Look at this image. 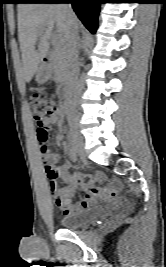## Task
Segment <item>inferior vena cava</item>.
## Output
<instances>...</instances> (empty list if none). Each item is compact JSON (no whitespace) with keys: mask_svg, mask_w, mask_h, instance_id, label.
Here are the masks:
<instances>
[{"mask_svg":"<svg viewBox=\"0 0 166 267\" xmlns=\"http://www.w3.org/2000/svg\"><path fill=\"white\" fill-rule=\"evenodd\" d=\"M62 8L64 10L66 20H67V52H68V63L70 69V88L75 89L78 82V73H79V47H80V38L79 30L77 24V17L72 10L70 3H63Z\"/></svg>","mask_w":166,"mask_h":267,"instance_id":"inferior-vena-cava-1","label":"inferior vena cava"}]
</instances>
